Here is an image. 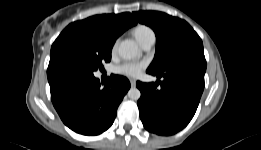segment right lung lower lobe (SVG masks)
<instances>
[{
	"label": "right lung lower lobe",
	"mask_w": 261,
	"mask_h": 150,
	"mask_svg": "<svg viewBox=\"0 0 261 150\" xmlns=\"http://www.w3.org/2000/svg\"><path fill=\"white\" fill-rule=\"evenodd\" d=\"M51 100L64 124L83 135H98L114 122L117 108L130 88L127 78L112 75L101 85L91 76L49 80Z\"/></svg>",
	"instance_id": "right-lung-lower-lobe-1"
}]
</instances>
